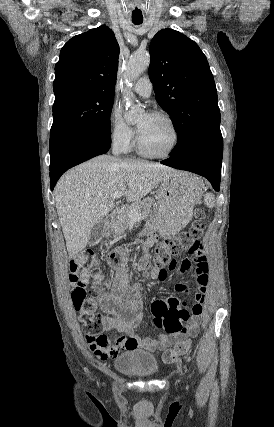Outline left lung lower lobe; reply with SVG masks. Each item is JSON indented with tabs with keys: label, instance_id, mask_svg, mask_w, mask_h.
<instances>
[{
	"label": "left lung lower lobe",
	"instance_id": "left-lung-lower-lobe-1",
	"mask_svg": "<svg viewBox=\"0 0 274 427\" xmlns=\"http://www.w3.org/2000/svg\"><path fill=\"white\" fill-rule=\"evenodd\" d=\"M170 155V158L160 163L204 176L219 191L223 156L221 133L204 135L191 146L180 152L172 151Z\"/></svg>",
	"mask_w": 274,
	"mask_h": 427
}]
</instances>
